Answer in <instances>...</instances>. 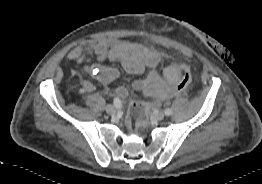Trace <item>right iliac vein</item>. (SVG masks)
<instances>
[{"label": "right iliac vein", "mask_w": 262, "mask_h": 184, "mask_svg": "<svg viewBox=\"0 0 262 184\" xmlns=\"http://www.w3.org/2000/svg\"><path fill=\"white\" fill-rule=\"evenodd\" d=\"M105 110L109 115H113L116 112V109L113 105H107Z\"/></svg>", "instance_id": "1"}]
</instances>
